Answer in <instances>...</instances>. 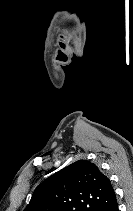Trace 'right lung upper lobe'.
<instances>
[{
	"label": "right lung upper lobe",
	"instance_id": "cb5924a9",
	"mask_svg": "<svg viewBox=\"0 0 133 211\" xmlns=\"http://www.w3.org/2000/svg\"><path fill=\"white\" fill-rule=\"evenodd\" d=\"M116 204L108 177L79 160L43 181L24 211H109Z\"/></svg>",
	"mask_w": 133,
	"mask_h": 211
}]
</instances>
